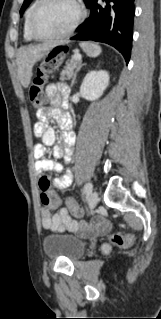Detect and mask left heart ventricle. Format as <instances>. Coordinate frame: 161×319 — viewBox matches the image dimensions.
<instances>
[{"label": "left heart ventricle", "mask_w": 161, "mask_h": 319, "mask_svg": "<svg viewBox=\"0 0 161 319\" xmlns=\"http://www.w3.org/2000/svg\"><path fill=\"white\" fill-rule=\"evenodd\" d=\"M75 14L69 0H48L35 17L34 29L41 36L58 34L70 25Z\"/></svg>", "instance_id": "b2bd125f"}]
</instances>
